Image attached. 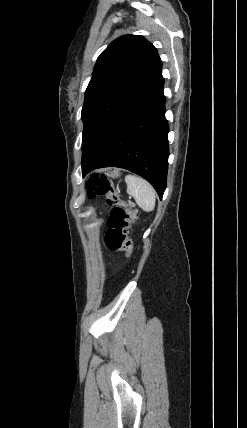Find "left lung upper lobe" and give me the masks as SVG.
<instances>
[{
	"label": "left lung upper lobe",
	"instance_id": "obj_1",
	"mask_svg": "<svg viewBox=\"0 0 247 428\" xmlns=\"http://www.w3.org/2000/svg\"><path fill=\"white\" fill-rule=\"evenodd\" d=\"M85 92L82 161L111 116L161 73L156 48L140 35H124L101 53Z\"/></svg>",
	"mask_w": 247,
	"mask_h": 428
}]
</instances>
